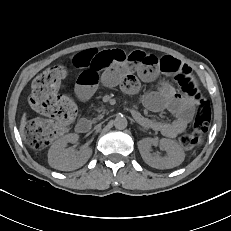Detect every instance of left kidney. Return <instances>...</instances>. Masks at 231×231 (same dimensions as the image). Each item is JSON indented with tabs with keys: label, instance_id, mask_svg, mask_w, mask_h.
Here are the masks:
<instances>
[{
	"label": "left kidney",
	"instance_id": "left-kidney-1",
	"mask_svg": "<svg viewBox=\"0 0 231 231\" xmlns=\"http://www.w3.org/2000/svg\"><path fill=\"white\" fill-rule=\"evenodd\" d=\"M157 143L167 152L165 157L151 154L152 145ZM138 149L145 163L156 169L174 168L180 165L185 158L180 146L175 141L166 138L161 139L159 142L153 138H143L138 142Z\"/></svg>",
	"mask_w": 231,
	"mask_h": 231
}]
</instances>
